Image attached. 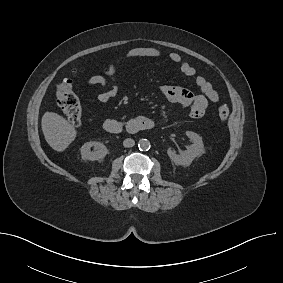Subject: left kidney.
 <instances>
[{
  "label": "left kidney",
  "instance_id": "left-kidney-1",
  "mask_svg": "<svg viewBox=\"0 0 283 283\" xmlns=\"http://www.w3.org/2000/svg\"><path fill=\"white\" fill-rule=\"evenodd\" d=\"M186 136L191 139L192 144L181 154H176L171 149L167 150L168 156L176 165L189 166L204 151V144L200 135L187 131Z\"/></svg>",
  "mask_w": 283,
  "mask_h": 283
}]
</instances>
